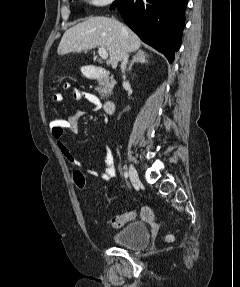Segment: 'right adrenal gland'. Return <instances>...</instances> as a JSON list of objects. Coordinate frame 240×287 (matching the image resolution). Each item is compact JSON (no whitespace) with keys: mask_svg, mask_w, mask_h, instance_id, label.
Here are the masks:
<instances>
[{"mask_svg":"<svg viewBox=\"0 0 240 287\" xmlns=\"http://www.w3.org/2000/svg\"><path fill=\"white\" fill-rule=\"evenodd\" d=\"M148 54H146L144 51L142 50H138L137 53L133 56V59L131 61V63L128 66L127 71H130L132 69V66L134 65V63H147L148 62Z\"/></svg>","mask_w":240,"mask_h":287,"instance_id":"obj_1","label":"right adrenal gland"}]
</instances>
